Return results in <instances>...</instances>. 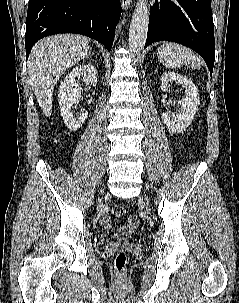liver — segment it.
<instances>
[{
	"instance_id": "6515ba94",
	"label": "liver",
	"mask_w": 239,
	"mask_h": 303,
	"mask_svg": "<svg viewBox=\"0 0 239 303\" xmlns=\"http://www.w3.org/2000/svg\"><path fill=\"white\" fill-rule=\"evenodd\" d=\"M90 40L75 34L54 35L38 41L28 61L29 81L46 117L51 116L53 88L59 77L88 56Z\"/></svg>"
}]
</instances>
